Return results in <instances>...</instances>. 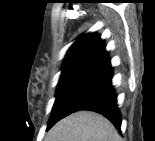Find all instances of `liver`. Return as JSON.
Listing matches in <instances>:
<instances>
[{
    "label": "liver",
    "instance_id": "liver-1",
    "mask_svg": "<svg viewBox=\"0 0 155 141\" xmlns=\"http://www.w3.org/2000/svg\"><path fill=\"white\" fill-rule=\"evenodd\" d=\"M46 141H121V137L102 115L80 111L56 123Z\"/></svg>",
    "mask_w": 155,
    "mask_h": 141
}]
</instances>
